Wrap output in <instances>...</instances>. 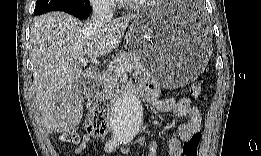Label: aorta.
<instances>
[{"mask_svg":"<svg viewBox=\"0 0 261 156\" xmlns=\"http://www.w3.org/2000/svg\"><path fill=\"white\" fill-rule=\"evenodd\" d=\"M143 107L135 95L119 98L111 110L110 126L114 135L122 141H131L141 130Z\"/></svg>","mask_w":261,"mask_h":156,"instance_id":"1","label":"aorta"}]
</instances>
